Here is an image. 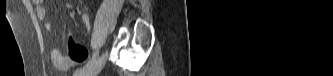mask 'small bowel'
I'll list each match as a JSON object with an SVG mask.
<instances>
[{
	"label": "small bowel",
	"instance_id": "1",
	"mask_svg": "<svg viewBox=\"0 0 333 76\" xmlns=\"http://www.w3.org/2000/svg\"><path fill=\"white\" fill-rule=\"evenodd\" d=\"M34 3L37 5L36 13L39 19L46 20L47 18V8L44 6L42 0H35ZM82 21L85 25V28L88 32L92 29V24L90 22L89 15L84 13L82 15ZM45 28L47 30L52 29V25L50 23H45ZM87 56L86 45L76 43L72 37H69L66 45V52L63 53L58 48L57 45H53L50 49V57L55 67L59 69H69L76 62L84 61Z\"/></svg>",
	"mask_w": 333,
	"mask_h": 76
}]
</instances>
